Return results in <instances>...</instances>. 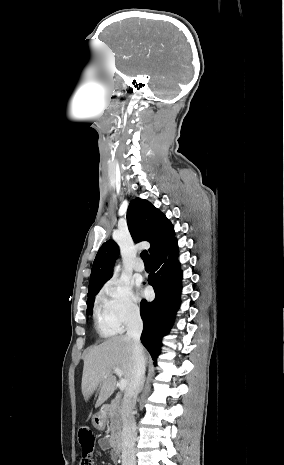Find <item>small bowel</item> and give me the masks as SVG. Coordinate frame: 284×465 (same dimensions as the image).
<instances>
[{"instance_id":"1","label":"small bowel","mask_w":284,"mask_h":465,"mask_svg":"<svg viewBox=\"0 0 284 465\" xmlns=\"http://www.w3.org/2000/svg\"><path fill=\"white\" fill-rule=\"evenodd\" d=\"M98 445L103 450H109V456L113 461H116L119 457L118 451L115 449H110V441L102 437L98 440Z\"/></svg>"}]
</instances>
